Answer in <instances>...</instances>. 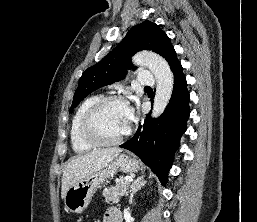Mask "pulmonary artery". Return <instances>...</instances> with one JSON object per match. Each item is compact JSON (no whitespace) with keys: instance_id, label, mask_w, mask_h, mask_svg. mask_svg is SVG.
<instances>
[{"instance_id":"obj_1","label":"pulmonary artery","mask_w":257,"mask_h":222,"mask_svg":"<svg viewBox=\"0 0 257 222\" xmlns=\"http://www.w3.org/2000/svg\"><path fill=\"white\" fill-rule=\"evenodd\" d=\"M138 83L141 85L154 86L155 85V77L151 72H148V71L139 72Z\"/></svg>"}]
</instances>
